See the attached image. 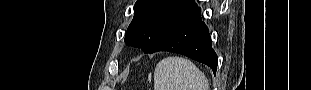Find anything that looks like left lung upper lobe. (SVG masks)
Returning a JSON list of instances; mask_svg holds the SVG:
<instances>
[{
  "instance_id": "obj_1",
  "label": "left lung upper lobe",
  "mask_w": 311,
  "mask_h": 90,
  "mask_svg": "<svg viewBox=\"0 0 311 90\" xmlns=\"http://www.w3.org/2000/svg\"><path fill=\"white\" fill-rule=\"evenodd\" d=\"M196 8L194 0H137L125 42L149 53L178 21Z\"/></svg>"
}]
</instances>
